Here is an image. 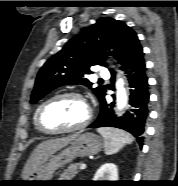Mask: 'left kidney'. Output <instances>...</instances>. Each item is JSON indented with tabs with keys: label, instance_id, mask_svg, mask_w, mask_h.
Listing matches in <instances>:
<instances>
[{
	"label": "left kidney",
	"instance_id": "1",
	"mask_svg": "<svg viewBox=\"0 0 178 186\" xmlns=\"http://www.w3.org/2000/svg\"><path fill=\"white\" fill-rule=\"evenodd\" d=\"M93 181H118V168L114 163L103 164L95 173Z\"/></svg>",
	"mask_w": 178,
	"mask_h": 186
}]
</instances>
